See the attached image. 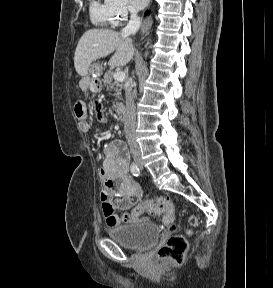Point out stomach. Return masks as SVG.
Masks as SVG:
<instances>
[{
    "label": "stomach",
    "instance_id": "0dacf381",
    "mask_svg": "<svg viewBox=\"0 0 273 288\" xmlns=\"http://www.w3.org/2000/svg\"><path fill=\"white\" fill-rule=\"evenodd\" d=\"M101 71L102 65L99 62L93 63L89 68V74L93 77L90 78V76H88L82 81V83L86 84V88L93 93H99L102 89L101 82L98 77Z\"/></svg>",
    "mask_w": 273,
    "mask_h": 288
}]
</instances>
